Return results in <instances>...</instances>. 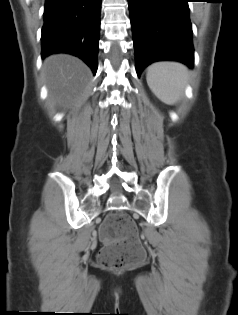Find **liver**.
Here are the masks:
<instances>
[{
    "label": "liver",
    "mask_w": 238,
    "mask_h": 315,
    "mask_svg": "<svg viewBox=\"0 0 238 315\" xmlns=\"http://www.w3.org/2000/svg\"><path fill=\"white\" fill-rule=\"evenodd\" d=\"M43 72L49 97L63 107H70L87 89L90 69L78 58L55 54L45 59Z\"/></svg>",
    "instance_id": "1"
}]
</instances>
